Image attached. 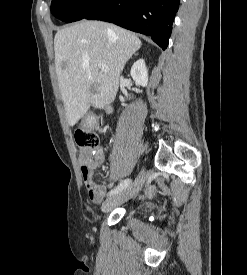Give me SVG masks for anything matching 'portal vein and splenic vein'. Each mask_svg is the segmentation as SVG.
<instances>
[{"mask_svg":"<svg viewBox=\"0 0 247 275\" xmlns=\"http://www.w3.org/2000/svg\"><path fill=\"white\" fill-rule=\"evenodd\" d=\"M100 69H101V71H103V72H107V71H108V66L105 65V64H101V65H100Z\"/></svg>","mask_w":247,"mask_h":275,"instance_id":"18ae733b","label":"portal vein and splenic vein"}]
</instances>
